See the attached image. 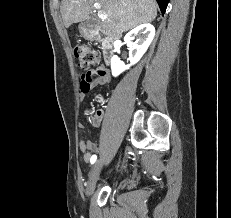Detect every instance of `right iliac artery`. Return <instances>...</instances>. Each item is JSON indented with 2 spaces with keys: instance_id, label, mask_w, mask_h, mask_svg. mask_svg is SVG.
<instances>
[{
  "instance_id": "82829eb1",
  "label": "right iliac artery",
  "mask_w": 231,
  "mask_h": 218,
  "mask_svg": "<svg viewBox=\"0 0 231 218\" xmlns=\"http://www.w3.org/2000/svg\"><path fill=\"white\" fill-rule=\"evenodd\" d=\"M96 159H97V156L93 155L90 160L91 164H93L96 161Z\"/></svg>"
}]
</instances>
